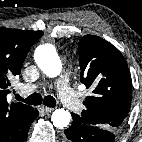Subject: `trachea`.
Instances as JSON below:
<instances>
[{"label":"trachea","instance_id":"trachea-1","mask_svg":"<svg viewBox=\"0 0 142 142\" xmlns=\"http://www.w3.org/2000/svg\"><path fill=\"white\" fill-rule=\"evenodd\" d=\"M15 98L18 101H22V102H24L26 104H29V105H40L43 102L48 107H52L53 108V107L56 106L55 98H53L50 95H47L44 98H42V96L40 94L33 93L29 97L24 99L20 95L15 94Z\"/></svg>","mask_w":142,"mask_h":142}]
</instances>
